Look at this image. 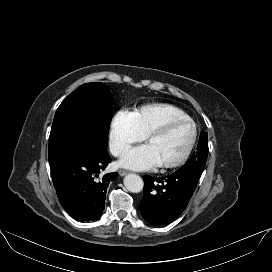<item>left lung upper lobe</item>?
<instances>
[{
	"instance_id": "1",
	"label": "left lung upper lobe",
	"mask_w": 272,
	"mask_h": 272,
	"mask_svg": "<svg viewBox=\"0 0 272 272\" xmlns=\"http://www.w3.org/2000/svg\"><path fill=\"white\" fill-rule=\"evenodd\" d=\"M208 134L202 131L199 138L197 152L179 170H198L203 172L208 154Z\"/></svg>"
}]
</instances>
